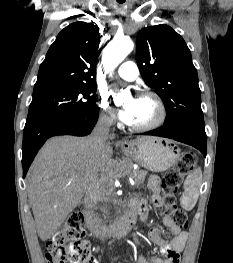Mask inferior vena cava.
<instances>
[{
  "instance_id": "obj_1",
  "label": "inferior vena cava",
  "mask_w": 233,
  "mask_h": 263,
  "mask_svg": "<svg viewBox=\"0 0 233 263\" xmlns=\"http://www.w3.org/2000/svg\"><path fill=\"white\" fill-rule=\"evenodd\" d=\"M112 124L113 118L107 115L100 116L91 135V143L98 161L103 158L102 153L107 146L109 128ZM97 180L90 184L86 193L85 204L89 210H94L100 199V187L97 184Z\"/></svg>"
}]
</instances>
